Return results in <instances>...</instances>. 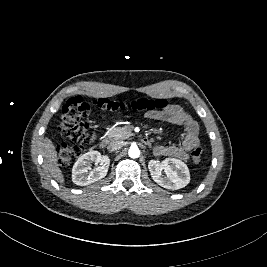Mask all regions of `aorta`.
<instances>
[{
    "label": "aorta",
    "mask_w": 267,
    "mask_h": 267,
    "mask_svg": "<svg viewBox=\"0 0 267 267\" xmlns=\"http://www.w3.org/2000/svg\"><path fill=\"white\" fill-rule=\"evenodd\" d=\"M128 154L131 158H138L140 156V150L137 146H131L128 150Z\"/></svg>",
    "instance_id": "aorta-1"
}]
</instances>
